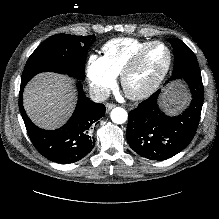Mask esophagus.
I'll list each match as a JSON object with an SVG mask.
<instances>
[{"instance_id":"34e87169","label":"esophagus","mask_w":219,"mask_h":219,"mask_svg":"<svg viewBox=\"0 0 219 219\" xmlns=\"http://www.w3.org/2000/svg\"><path fill=\"white\" fill-rule=\"evenodd\" d=\"M114 107H116L115 104L107 103L106 104V112H109Z\"/></svg>"}]
</instances>
